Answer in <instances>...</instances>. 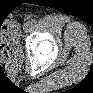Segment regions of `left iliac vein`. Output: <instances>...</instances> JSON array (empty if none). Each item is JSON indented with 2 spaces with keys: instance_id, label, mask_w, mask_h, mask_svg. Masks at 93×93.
I'll use <instances>...</instances> for the list:
<instances>
[{
  "instance_id": "obj_1",
  "label": "left iliac vein",
  "mask_w": 93,
  "mask_h": 93,
  "mask_svg": "<svg viewBox=\"0 0 93 93\" xmlns=\"http://www.w3.org/2000/svg\"><path fill=\"white\" fill-rule=\"evenodd\" d=\"M31 26H32L31 22H26V23H24L23 28H24L25 31H28Z\"/></svg>"
}]
</instances>
